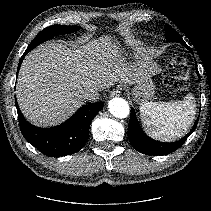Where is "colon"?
<instances>
[{"label":"colon","instance_id":"1","mask_svg":"<svg viewBox=\"0 0 211 211\" xmlns=\"http://www.w3.org/2000/svg\"><path fill=\"white\" fill-rule=\"evenodd\" d=\"M165 83L175 92H185L189 88L188 63L182 54H175L169 61Z\"/></svg>","mask_w":211,"mask_h":211}]
</instances>
